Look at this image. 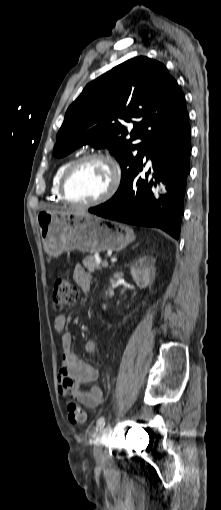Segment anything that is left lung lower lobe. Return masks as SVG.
I'll list each match as a JSON object with an SVG mask.
<instances>
[{"label":"left lung lower lobe","instance_id":"left-lung-lower-lobe-1","mask_svg":"<svg viewBox=\"0 0 221 510\" xmlns=\"http://www.w3.org/2000/svg\"><path fill=\"white\" fill-rule=\"evenodd\" d=\"M190 136L187 121L152 141L145 152L152 161V169L146 173V178L140 176L142 160L121 192L106 203L90 208L89 212L124 223L157 227L178 239L190 172ZM149 174L151 177L148 178ZM158 181L167 184L168 193L156 199L154 188Z\"/></svg>","mask_w":221,"mask_h":510}]
</instances>
